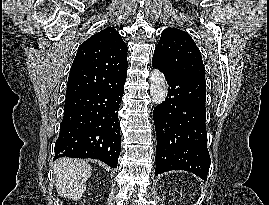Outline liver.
I'll return each instance as SVG.
<instances>
[{
  "label": "liver",
  "mask_w": 269,
  "mask_h": 205,
  "mask_svg": "<svg viewBox=\"0 0 269 205\" xmlns=\"http://www.w3.org/2000/svg\"><path fill=\"white\" fill-rule=\"evenodd\" d=\"M54 174L58 195L79 200L86 190L92 168L86 160L60 158L54 164Z\"/></svg>",
  "instance_id": "1"
}]
</instances>
